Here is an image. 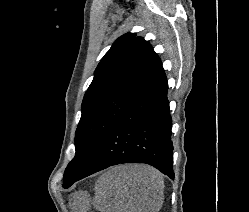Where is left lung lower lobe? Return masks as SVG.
Returning <instances> with one entry per match:
<instances>
[{"mask_svg": "<svg viewBox=\"0 0 249 212\" xmlns=\"http://www.w3.org/2000/svg\"><path fill=\"white\" fill-rule=\"evenodd\" d=\"M167 90V78L161 66L117 120L92 163L76 181L122 163H146L174 179Z\"/></svg>", "mask_w": 249, "mask_h": 212, "instance_id": "0a47b994", "label": "left lung lower lobe"}]
</instances>
